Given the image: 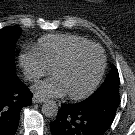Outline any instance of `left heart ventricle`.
<instances>
[{"label":"left heart ventricle","instance_id":"left-heart-ventricle-1","mask_svg":"<svg viewBox=\"0 0 135 135\" xmlns=\"http://www.w3.org/2000/svg\"><path fill=\"white\" fill-rule=\"evenodd\" d=\"M102 62L98 49H87L78 54L69 64L54 73L65 86L67 93L85 91L97 77Z\"/></svg>","mask_w":135,"mask_h":135}]
</instances>
